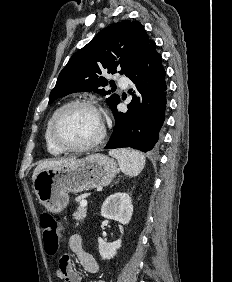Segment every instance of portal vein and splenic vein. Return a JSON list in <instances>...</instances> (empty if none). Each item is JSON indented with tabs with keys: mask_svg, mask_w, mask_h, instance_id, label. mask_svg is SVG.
Returning <instances> with one entry per match:
<instances>
[{
	"mask_svg": "<svg viewBox=\"0 0 232 282\" xmlns=\"http://www.w3.org/2000/svg\"><path fill=\"white\" fill-rule=\"evenodd\" d=\"M87 200H82L81 202H80V206L81 207H87Z\"/></svg>",
	"mask_w": 232,
	"mask_h": 282,
	"instance_id": "18ae733b",
	"label": "portal vein and splenic vein"
}]
</instances>
